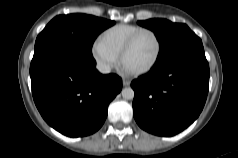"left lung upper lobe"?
Segmentation results:
<instances>
[{"mask_svg":"<svg viewBox=\"0 0 238 158\" xmlns=\"http://www.w3.org/2000/svg\"><path fill=\"white\" fill-rule=\"evenodd\" d=\"M138 24L152 30L159 41L157 63L190 45L202 43L186 24L172 23L166 19H149Z\"/></svg>","mask_w":238,"mask_h":158,"instance_id":"1","label":"left lung upper lobe"}]
</instances>
